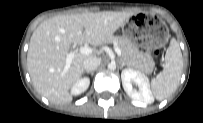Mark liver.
I'll use <instances>...</instances> for the list:
<instances>
[{"instance_id": "liver-1", "label": "liver", "mask_w": 203, "mask_h": 123, "mask_svg": "<svg viewBox=\"0 0 203 123\" xmlns=\"http://www.w3.org/2000/svg\"><path fill=\"white\" fill-rule=\"evenodd\" d=\"M134 15V12H97L58 15L43 21L33 32L27 53V67L35 90L53 104L72 101L70 88L80 80L83 61L94 53H75L64 70L70 45L100 46Z\"/></svg>"}]
</instances>
